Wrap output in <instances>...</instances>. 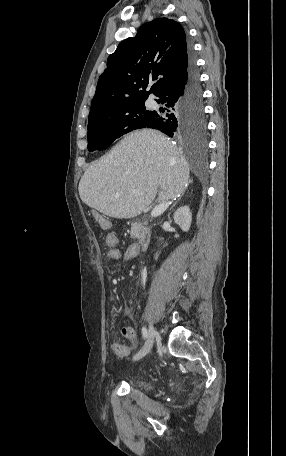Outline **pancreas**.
<instances>
[{"label":"pancreas","mask_w":286,"mask_h":456,"mask_svg":"<svg viewBox=\"0 0 286 456\" xmlns=\"http://www.w3.org/2000/svg\"><path fill=\"white\" fill-rule=\"evenodd\" d=\"M130 237L133 239L140 237V227L138 224H133L131 227Z\"/></svg>","instance_id":"cf45deb5"}]
</instances>
